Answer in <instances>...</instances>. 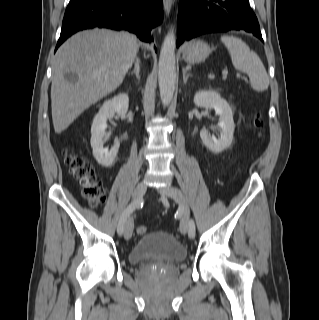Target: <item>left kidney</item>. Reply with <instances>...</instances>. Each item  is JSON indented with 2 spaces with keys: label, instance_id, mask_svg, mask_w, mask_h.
I'll return each mask as SVG.
<instances>
[{
  "label": "left kidney",
  "instance_id": "1",
  "mask_svg": "<svg viewBox=\"0 0 319 320\" xmlns=\"http://www.w3.org/2000/svg\"><path fill=\"white\" fill-rule=\"evenodd\" d=\"M194 104L206 109H214L219 116L218 126L220 127V137L208 135L205 129L201 130L200 137L203 144L213 153H221L227 149L233 141L234 121L230 105L217 91L200 90L194 96Z\"/></svg>",
  "mask_w": 319,
  "mask_h": 320
}]
</instances>
